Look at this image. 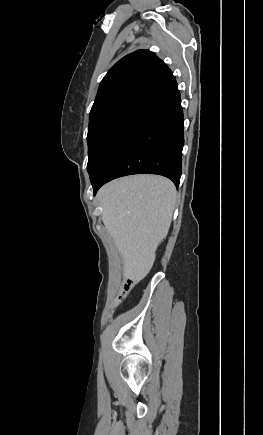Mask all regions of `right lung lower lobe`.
<instances>
[{
    "mask_svg": "<svg viewBox=\"0 0 263 435\" xmlns=\"http://www.w3.org/2000/svg\"><path fill=\"white\" fill-rule=\"evenodd\" d=\"M183 111L176 80L149 99L129 122L97 174L94 195L106 182L131 174L163 175L179 185Z\"/></svg>",
    "mask_w": 263,
    "mask_h": 435,
    "instance_id": "right-lung-lower-lobe-1",
    "label": "right lung lower lobe"
}]
</instances>
